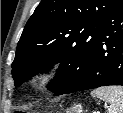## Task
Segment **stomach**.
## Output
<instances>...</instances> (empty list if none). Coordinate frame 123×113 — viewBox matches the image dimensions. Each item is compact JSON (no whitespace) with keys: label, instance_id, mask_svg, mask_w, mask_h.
<instances>
[{"label":"stomach","instance_id":"obj_1","mask_svg":"<svg viewBox=\"0 0 123 113\" xmlns=\"http://www.w3.org/2000/svg\"><path fill=\"white\" fill-rule=\"evenodd\" d=\"M82 105L74 104L71 108L67 109L66 113H82Z\"/></svg>","mask_w":123,"mask_h":113}]
</instances>
